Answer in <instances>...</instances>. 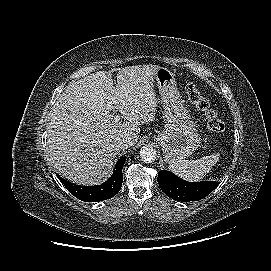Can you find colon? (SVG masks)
<instances>
[{
	"instance_id": "colon-1",
	"label": "colon",
	"mask_w": 271,
	"mask_h": 271,
	"mask_svg": "<svg viewBox=\"0 0 271 271\" xmlns=\"http://www.w3.org/2000/svg\"><path fill=\"white\" fill-rule=\"evenodd\" d=\"M185 90L190 101L203 112L208 129L215 134L223 133L225 131L224 121L218 117L210 101L201 94L198 87L190 82L186 85Z\"/></svg>"
}]
</instances>
